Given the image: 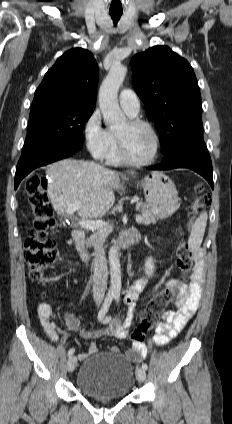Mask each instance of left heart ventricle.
<instances>
[{
    "instance_id": "left-heart-ventricle-1",
    "label": "left heart ventricle",
    "mask_w": 232,
    "mask_h": 424,
    "mask_svg": "<svg viewBox=\"0 0 232 424\" xmlns=\"http://www.w3.org/2000/svg\"><path fill=\"white\" fill-rule=\"evenodd\" d=\"M124 143L129 157L144 160L151 156L154 150V138L144 127H133L126 121L116 131Z\"/></svg>"
}]
</instances>
